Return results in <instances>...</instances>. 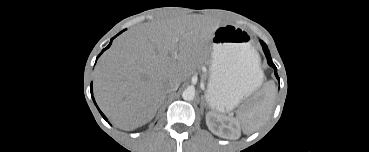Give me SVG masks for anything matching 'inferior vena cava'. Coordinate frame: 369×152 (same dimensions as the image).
Returning <instances> with one entry per match:
<instances>
[{"instance_id":"602c4592","label":"inferior vena cava","mask_w":369,"mask_h":152,"mask_svg":"<svg viewBox=\"0 0 369 152\" xmlns=\"http://www.w3.org/2000/svg\"><path fill=\"white\" fill-rule=\"evenodd\" d=\"M179 82L177 81H174V80H170L166 83V86H165V91L166 93H170V92H173V91H176L179 87Z\"/></svg>"}]
</instances>
